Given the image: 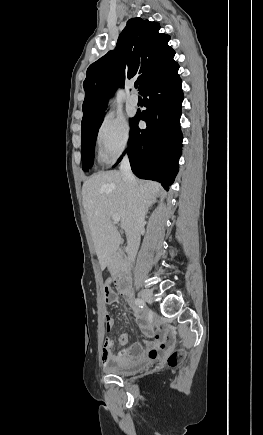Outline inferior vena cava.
<instances>
[{"label": "inferior vena cava", "mask_w": 263, "mask_h": 435, "mask_svg": "<svg viewBox=\"0 0 263 435\" xmlns=\"http://www.w3.org/2000/svg\"><path fill=\"white\" fill-rule=\"evenodd\" d=\"M120 174L125 182L129 204V226L126 230L127 254L129 260L134 261L140 244V232L143 228L146 205L138 192L136 179L131 171L127 156L120 164Z\"/></svg>", "instance_id": "inferior-vena-cava-1"}]
</instances>
